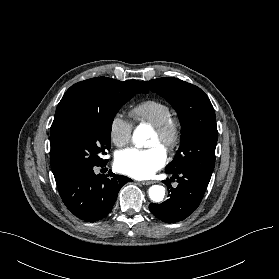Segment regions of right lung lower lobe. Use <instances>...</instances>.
<instances>
[{
    "mask_svg": "<svg viewBox=\"0 0 279 279\" xmlns=\"http://www.w3.org/2000/svg\"><path fill=\"white\" fill-rule=\"evenodd\" d=\"M106 164L101 165V167ZM96 175L94 167L83 168L57 184L66 207L77 218L92 222L110 213L119 190L131 179L111 173Z\"/></svg>",
    "mask_w": 279,
    "mask_h": 279,
    "instance_id": "1",
    "label": "right lung lower lobe"
}]
</instances>
